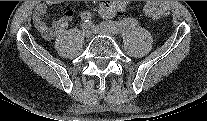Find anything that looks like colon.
I'll return each instance as SVG.
<instances>
[{"label": "colon", "mask_w": 207, "mask_h": 121, "mask_svg": "<svg viewBox=\"0 0 207 121\" xmlns=\"http://www.w3.org/2000/svg\"><path fill=\"white\" fill-rule=\"evenodd\" d=\"M168 12H169L168 6L161 1H149L144 6V13L146 14V16H148L151 19H159L163 16H166Z\"/></svg>", "instance_id": "5ec220e1"}]
</instances>
